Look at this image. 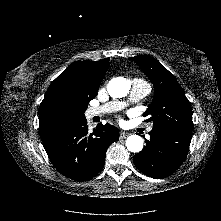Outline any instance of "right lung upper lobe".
Segmentation results:
<instances>
[{"mask_svg":"<svg viewBox=\"0 0 221 221\" xmlns=\"http://www.w3.org/2000/svg\"><path fill=\"white\" fill-rule=\"evenodd\" d=\"M109 60L76 61L50 84L39 107V133L43 143L84 118L79 100L97 95Z\"/></svg>","mask_w":221,"mask_h":221,"instance_id":"1","label":"right lung upper lobe"}]
</instances>
